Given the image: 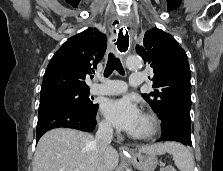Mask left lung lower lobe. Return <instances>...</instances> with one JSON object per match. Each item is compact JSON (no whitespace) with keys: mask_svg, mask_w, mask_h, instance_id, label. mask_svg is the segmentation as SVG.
I'll list each match as a JSON object with an SVG mask.
<instances>
[{"mask_svg":"<svg viewBox=\"0 0 223 171\" xmlns=\"http://www.w3.org/2000/svg\"><path fill=\"white\" fill-rule=\"evenodd\" d=\"M159 141H177L191 146L190 117L179 111L169 112L162 120Z\"/></svg>","mask_w":223,"mask_h":171,"instance_id":"left-lung-lower-lobe-1","label":"left lung lower lobe"}]
</instances>
